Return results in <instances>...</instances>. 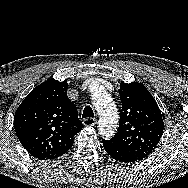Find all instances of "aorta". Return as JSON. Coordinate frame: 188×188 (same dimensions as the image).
I'll return each instance as SVG.
<instances>
[{"instance_id": "762f6f07", "label": "aorta", "mask_w": 188, "mask_h": 188, "mask_svg": "<svg viewBox=\"0 0 188 188\" xmlns=\"http://www.w3.org/2000/svg\"><path fill=\"white\" fill-rule=\"evenodd\" d=\"M93 104L99 114L98 132L102 137L111 138L118 126V110L110 96L102 87L93 91Z\"/></svg>"}]
</instances>
